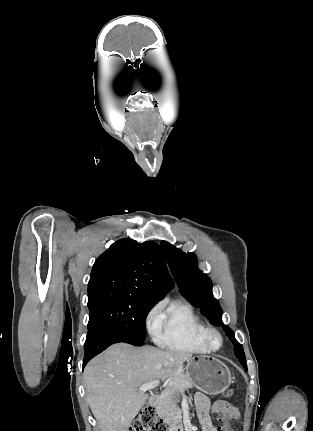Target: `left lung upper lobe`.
<instances>
[{
	"label": "left lung upper lobe",
	"mask_w": 313,
	"mask_h": 431,
	"mask_svg": "<svg viewBox=\"0 0 313 431\" xmlns=\"http://www.w3.org/2000/svg\"><path fill=\"white\" fill-rule=\"evenodd\" d=\"M161 248L180 293L192 305L200 307L201 312L207 316L210 323L223 327L226 335L234 345L236 357L247 371L243 346L235 339L234 332L223 324L221 320L222 310L219 302L213 297L211 280L197 268L196 255L192 253L186 254L166 241L161 242Z\"/></svg>",
	"instance_id": "5c2ea615"
}]
</instances>
